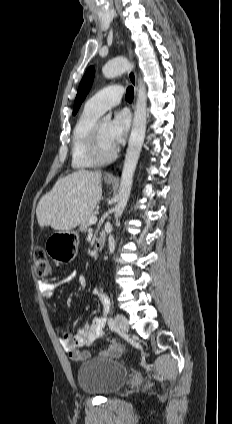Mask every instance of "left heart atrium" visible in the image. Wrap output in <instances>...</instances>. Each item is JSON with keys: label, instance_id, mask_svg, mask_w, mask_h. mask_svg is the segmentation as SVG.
Listing matches in <instances>:
<instances>
[{"label": "left heart atrium", "instance_id": "left-heart-atrium-1", "mask_svg": "<svg viewBox=\"0 0 232 424\" xmlns=\"http://www.w3.org/2000/svg\"><path fill=\"white\" fill-rule=\"evenodd\" d=\"M130 127V117L127 112H118L109 124V138L112 144L117 147L122 143Z\"/></svg>", "mask_w": 232, "mask_h": 424}]
</instances>
